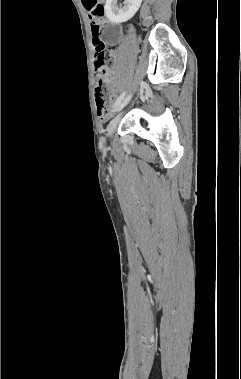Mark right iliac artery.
I'll return each instance as SVG.
<instances>
[{"mask_svg":"<svg viewBox=\"0 0 241 379\" xmlns=\"http://www.w3.org/2000/svg\"><path fill=\"white\" fill-rule=\"evenodd\" d=\"M124 95H125V92H123V93L118 97V99L116 100L115 106H118V105L121 103V101H122L123 98H124Z\"/></svg>","mask_w":241,"mask_h":379,"instance_id":"1","label":"right iliac artery"}]
</instances>
